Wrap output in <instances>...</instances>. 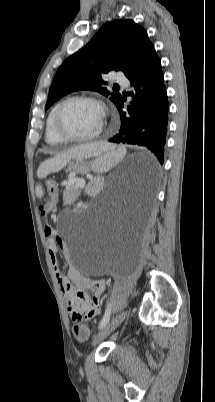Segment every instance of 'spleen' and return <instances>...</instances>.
<instances>
[{"label":"spleen","mask_w":215,"mask_h":402,"mask_svg":"<svg viewBox=\"0 0 215 402\" xmlns=\"http://www.w3.org/2000/svg\"><path fill=\"white\" fill-rule=\"evenodd\" d=\"M101 153H104L101 155ZM126 150L123 147L115 149L114 145L107 142H94L90 144L80 145L64 153L61 157L49 159L41 164L38 169V176L45 177L51 172L60 170L71 158L82 159L84 157L97 156L90 163L94 172H103L108 170L114 163L115 159L125 155Z\"/></svg>","instance_id":"obj_1"}]
</instances>
